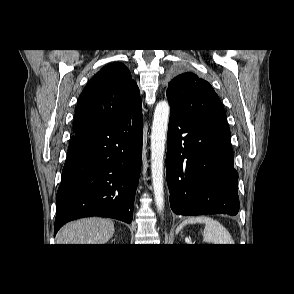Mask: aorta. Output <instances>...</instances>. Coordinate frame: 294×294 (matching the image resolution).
I'll list each match as a JSON object with an SVG mask.
<instances>
[{
  "label": "aorta",
  "instance_id": "obj_1",
  "mask_svg": "<svg viewBox=\"0 0 294 294\" xmlns=\"http://www.w3.org/2000/svg\"><path fill=\"white\" fill-rule=\"evenodd\" d=\"M169 114L170 106L167 101L157 103L151 130V177L158 211L164 209L163 163Z\"/></svg>",
  "mask_w": 294,
  "mask_h": 294
}]
</instances>
